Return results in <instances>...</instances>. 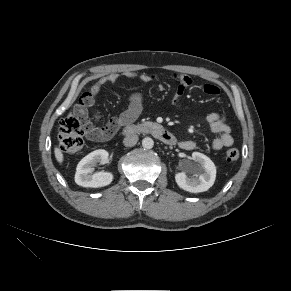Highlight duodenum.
<instances>
[{"label": "duodenum", "mask_w": 291, "mask_h": 291, "mask_svg": "<svg viewBox=\"0 0 291 291\" xmlns=\"http://www.w3.org/2000/svg\"><path fill=\"white\" fill-rule=\"evenodd\" d=\"M123 133L126 136L134 134H151L167 145H173L176 142L175 136L170 131L159 125L126 124L123 128Z\"/></svg>", "instance_id": "410a0bca"}]
</instances>
